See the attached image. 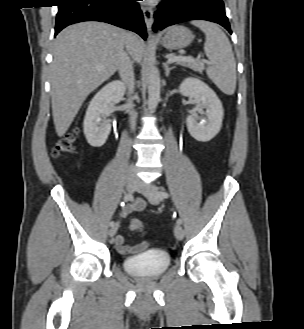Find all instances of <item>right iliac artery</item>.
I'll return each mask as SVG.
<instances>
[{
	"instance_id": "82829eb1",
	"label": "right iliac artery",
	"mask_w": 304,
	"mask_h": 329,
	"mask_svg": "<svg viewBox=\"0 0 304 329\" xmlns=\"http://www.w3.org/2000/svg\"><path fill=\"white\" fill-rule=\"evenodd\" d=\"M132 198H133L132 194L131 193H128V194H126L124 196L123 201L124 202H128V201L132 200ZM109 224L112 227L113 225H115V222L114 221H111Z\"/></svg>"
}]
</instances>
